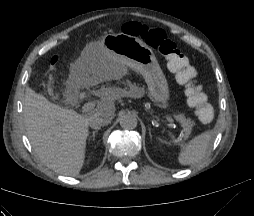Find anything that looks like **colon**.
Instances as JSON below:
<instances>
[{
    "label": "colon",
    "mask_w": 254,
    "mask_h": 216,
    "mask_svg": "<svg viewBox=\"0 0 254 216\" xmlns=\"http://www.w3.org/2000/svg\"><path fill=\"white\" fill-rule=\"evenodd\" d=\"M128 35L143 39L157 49L168 62V67L177 73V80L185 85L188 103L193 108L195 117L202 123H209L214 118V109L201 92L195 80V72L190 67L188 59L179 51L176 44L159 28L148 27L139 23L129 22L123 27ZM52 78L45 79L50 85Z\"/></svg>",
    "instance_id": "obj_1"
}]
</instances>
